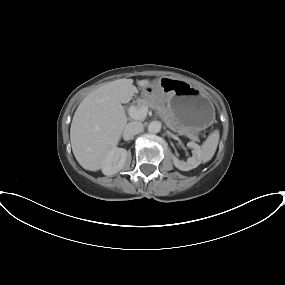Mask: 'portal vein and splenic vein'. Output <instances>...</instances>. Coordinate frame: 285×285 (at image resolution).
<instances>
[{"label": "portal vein and splenic vein", "instance_id": "portal-vein-and-splenic-vein-1", "mask_svg": "<svg viewBox=\"0 0 285 285\" xmlns=\"http://www.w3.org/2000/svg\"><path fill=\"white\" fill-rule=\"evenodd\" d=\"M128 113L133 119L142 120L147 116L148 107L143 106L140 109H137L135 106H130Z\"/></svg>", "mask_w": 285, "mask_h": 285}]
</instances>
